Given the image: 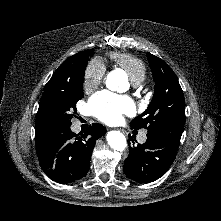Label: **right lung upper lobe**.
Here are the masks:
<instances>
[{
    "label": "right lung upper lobe",
    "mask_w": 221,
    "mask_h": 221,
    "mask_svg": "<svg viewBox=\"0 0 221 221\" xmlns=\"http://www.w3.org/2000/svg\"><path fill=\"white\" fill-rule=\"evenodd\" d=\"M93 50H85L66 59L54 72L48 83L71 77L80 67L85 59H89ZM50 133L43 130L38 122L35 126L36 150L39 154L45 147L46 140Z\"/></svg>",
    "instance_id": "right-lung-upper-lobe-1"
}]
</instances>
